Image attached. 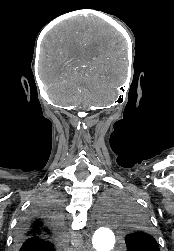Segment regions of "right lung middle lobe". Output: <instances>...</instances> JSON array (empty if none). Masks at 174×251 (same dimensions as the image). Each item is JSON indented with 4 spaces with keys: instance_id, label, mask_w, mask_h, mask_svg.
Returning a JSON list of instances; mask_svg holds the SVG:
<instances>
[{
    "instance_id": "dd1d6c3e",
    "label": "right lung middle lobe",
    "mask_w": 174,
    "mask_h": 251,
    "mask_svg": "<svg viewBox=\"0 0 174 251\" xmlns=\"http://www.w3.org/2000/svg\"><path fill=\"white\" fill-rule=\"evenodd\" d=\"M62 204L63 198L61 194L59 192L52 191L38 199L33 211L40 209L47 210L51 214H53L58 220H61L63 216Z\"/></svg>"
}]
</instances>
